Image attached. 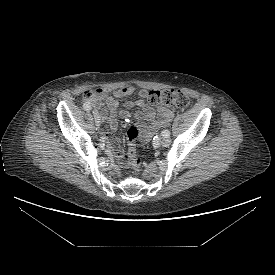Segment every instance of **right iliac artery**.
<instances>
[{
  "instance_id": "obj_1",
  "label": "right iliac artery",
  "mask_w": 275,
  "mask_h": 275,
  "mask_svg": "<svg viewBox=\"0 0 275 275\" xmlns=\"http://www.w3.org/2000/svg\"><path fill=\"white\" fill-rule=\"evenodd\" d=\"M83 108H84L86 111H89V110L92 109L91 104L88 103V102H85V103L83 104Z\"/></svg>"
}]
</instances>
